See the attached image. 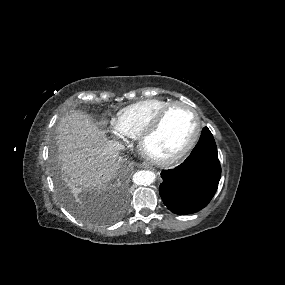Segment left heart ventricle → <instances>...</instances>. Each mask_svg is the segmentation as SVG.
Here are the masks:
<instances>
[{
  "label": "left heart ventricle",
  "mask_w": 285,
  "mask_h": 285,
  "mask_svg": "<svg viewBox=\"0 0 285 285\" xmlns=\"http://www.w3.org/2000/svg\"><path fill=\"white\" fill-rule=\"evenodd\" d=\"M193 114L184 107L173 108L160 128L145 144V150L156 158H167L182 149L195 131Z\"/></svg>",
  "instance_id": "obj_1"
}]
</instances>
